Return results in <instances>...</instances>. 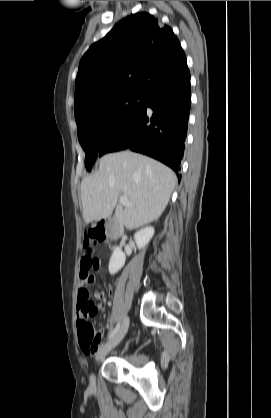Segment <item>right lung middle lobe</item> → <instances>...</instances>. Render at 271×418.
<instances>
[{"label":"right lung middle lobe","mask_w":271,"mask_h":418,"mask_svg":"<svg viewBox=\"0 0 271 418\" xmlns=\"http://www.w3.org/2000/svg\"><path fill=\"white\" fill-rule=\"evenodd\" d=\"M146 97L137 93H123L76 115L79 142L86 156L85 165L91 170L106 137L145 103Z\"/></svg>","instance_id":"obj_1"}]
</instances>
